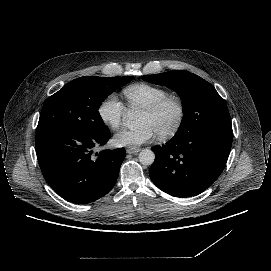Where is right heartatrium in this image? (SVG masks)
Returning <instances> with one entry per match:
<instances>
[{
  "label": "right heart atrium",
  "instance_id": "d8ad5b80",
  "mask_svg": "<svg viewBox=\"0 0 271 271\" xmlns=\"http://www.w3.org/2000/svg\"><path fill=\"white\" fill-rule=\"evenodd\" d=\"M125 108L116 93L107 95L97 107V115L102 123L112 131H117L123 121Z\"/></svg>",
  "mask_w": 271,
  "mask_h": 271
}]
</instances>
